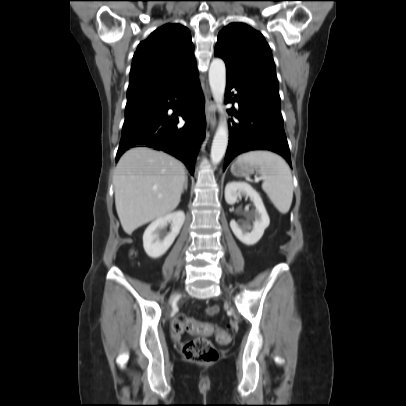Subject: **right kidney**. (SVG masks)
I'll return each mask as SVG.
<instances>
[{
  "mask_svg": "<svg viewBox=\"0 0 406 406\" xmlns=\"http://www.w3.org/2000/svg\"><path fill=\"white\" fill-rule=\"evenodd\" d=\"M184 221L183 211L173 212L153 221L143 235V246L147 255L156 259L165 254L179 234ZM168 223L171 224V232L164 239H160L159 230Z\"/></svg>",
  "mask_w": 406,
  "mask_h": 406,
  "instance_id": "1",
  "label": "right kidney"
}]
</instances>
